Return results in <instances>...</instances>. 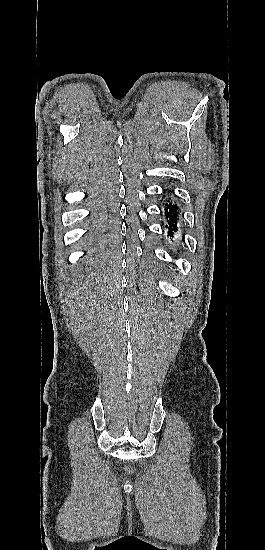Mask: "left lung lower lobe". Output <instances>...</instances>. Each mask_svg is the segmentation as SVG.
Returning a JSON list of instances; mask_svg holds the SVG:
<instances>
[{
    "label": "left lung lower lobe",
    "mask_w": 265,
    "mask_h": 550,
    "mask_svg": "<svg viewBox=\"0 0 265 550\" xmlns=\"http://www.w3.org/2000/svg\"><path fill=\"white\" fill-rule=\"evenodd\" d=\"M177 207L172 205L171 203H169V205L167 204V209H166V217L172 221V223H169V226L168 227V236L172 237L173 238V230L176 229L175 225H177V222H176V217H177ZM174 222V224H173ZM172 240V239H171Z\"/></svg>",
    "instance_id": "obj_1"
}]
</instances>
